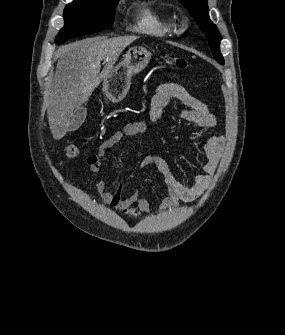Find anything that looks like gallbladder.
Returning <instances> with one entry per match:
<instances>
[{
  "instance_id": "obj_1",
  "label": "gallbladder",
  "mask_w": 285,
  "mask_h": 335,
  "mask_svg": "<svg viewBox=\"0 0 285 335\" xmlns=\"http://www.w3.org/2000/svg\"><path fill=\"white\" fill-rule=\"evenodd\" d=\"M86 116H87V108H79V110H75L71 118V122L68 126L69 132H75V130H78V128L82 126Z\"/></svg>"
}]
</instances>
